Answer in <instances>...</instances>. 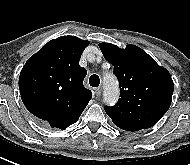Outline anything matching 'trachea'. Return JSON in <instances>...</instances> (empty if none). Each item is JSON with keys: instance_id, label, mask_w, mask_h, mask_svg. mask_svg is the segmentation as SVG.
I'll list each match as a JSON object with an SVG mask.
<instances>
[{"instance_id": "3493384b", "label": "trachea", "mask_w": 190, "mask_h": 165, "mask_svg": "<svg viewBox=\"0 0 190 165\" xmlns=\"http://www.w3.org/2000/svg\"><path fill=\"white\" fill-rule=\"evenodd\" d=\"M89 84L92 87H98L99 84H100L99 76L96 75V74L91 75L90 78H89Z\"/></svg>"}]
</instances>
